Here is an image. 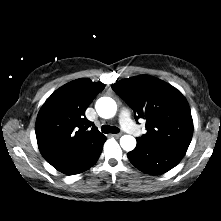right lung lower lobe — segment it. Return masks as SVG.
<instances>
[{"mask_svg": "<svg viewBox=\"0 0 221 221\" xmlns=\"http://www.w3.org/2000/svg\"><path fill=\"white\" fill-rule=\"evenodd\" d=\"M100 154H101V152H100ZM100 154L91 163H89L86 167H84L82 170H80L78 173L84 172L85 170H87L88 168L93 166L96 163V161L98 160ZM78 173H76V174H78Z\"/></svg>", "mask_w": 221, "mask_h": 221, "instance_id": "obj_1", "label": "right lung lower lobe"}]
</instances>
